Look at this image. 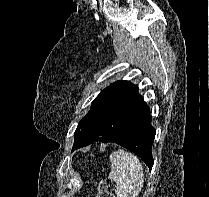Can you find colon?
Instances as JSON below:
<instances>
[{
	"label": "colon",
	"mask_w": 209,
	"mask_h": 197,
	"mask_svg": "<svg viewBox=\"0 0 209 197\" xmlns=\"http://www.w3.org/2000/svg\"><path fill=\"white\" fill-rule=\"evenodd\" d=\"M96 197H114L105 181H101L98 186Z\"/></svg>",
	"instance_id": "5ec220e1"
}]
</instances>
